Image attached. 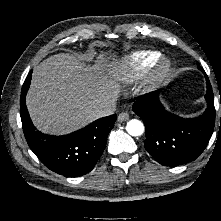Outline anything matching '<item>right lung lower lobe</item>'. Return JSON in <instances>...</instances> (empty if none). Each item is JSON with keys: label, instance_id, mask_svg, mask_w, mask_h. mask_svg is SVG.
Segmentation results:
<instances>
[{"label": "right lung lower lobe", "instance_id": "right-lung-lower-lobe-1", "mask_svg": "<svg viewBox=\"0 0 221 221\" xmlns=\"http://www.w3.org/2000/svg\"><path fill=\"white\" fill-rule=\"evenodd\" d=\"M31 75L32 71L25 79L20 97L22 127L29 147L46 167L60 175L75 177L90 172L105 149L117 116L103 117L65 136L42 134L33 126L25 104Z\"/></svg>", "mask_w": 221, "mask_h": 221}]
</instances>
